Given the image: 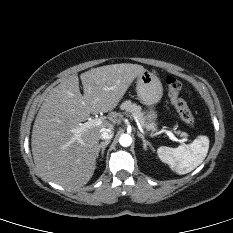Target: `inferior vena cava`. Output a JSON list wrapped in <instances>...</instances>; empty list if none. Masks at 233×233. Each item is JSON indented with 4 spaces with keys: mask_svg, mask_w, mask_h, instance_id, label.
<instances>
[{
    "mask_svg": "<svg viewBox=\"0 0 233 233\" xmlns=\"http://www.w3.org/2000/svg\"><path fill=\"white\" fill-rule=\"evenodd\" d=\"M114 135L112 128H102L99 137L104 140H110Z\"/></svg>",
    "mask_w": 233,
    "mask_h": 233,
    "instance_id": "602c4592",
    "label": "inferior vena cava"
}]
</instances>
